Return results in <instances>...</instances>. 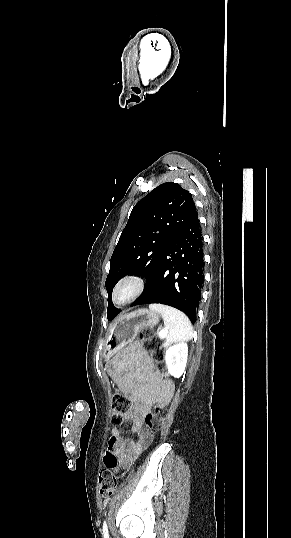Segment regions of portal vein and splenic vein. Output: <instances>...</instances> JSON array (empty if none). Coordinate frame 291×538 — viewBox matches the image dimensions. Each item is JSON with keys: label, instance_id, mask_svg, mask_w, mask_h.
<instances>
[{"label": "portal vein and splenic vein", "instance_id": "18ae733b", "mask_svg": "<svg viewBox=\"0 0 291 538\" xmlns=\"http://www.w3.org/2000/svg\"><path fill=\"white\" fill-rule=\"evenodd\" d=\"M166 335H167V331H160L159 332V337L160 338H164Z\"/></svg>", "mask_w": 291, "mask_h": 538}]
</instances>
